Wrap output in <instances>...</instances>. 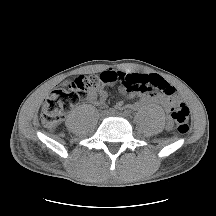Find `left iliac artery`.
<instances>
[{
    "instance_id": "obj_1",
    "label": "left iliac artery",
    "mask_w": 216,
    "mask_h": 216,
    "mask_svg": "<svg viewBox=\"0 0 216 216\" xmlns=\"http://www.w3.org/2000/svg\"><path fill=\"white\" fill-rule=\"evenodd\" d=\"M123 115H124V116H129V115H130V112H129L128 110H125V111L123 112Z\"/></svg>"
}]
</instances>
